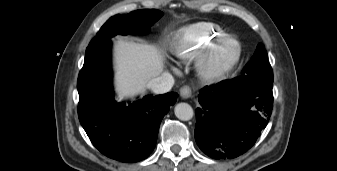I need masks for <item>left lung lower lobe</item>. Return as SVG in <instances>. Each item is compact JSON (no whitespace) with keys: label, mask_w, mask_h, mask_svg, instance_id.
Wrapping results in <instances>:
<instances>
[{"label":"left lung lower lobe","mask_w":337,"mask_h":171,"mask_svg":"<svg viewBox=\"0 0 337 171\" xmlns=\"http://www.w3.org/2000/svg\"><path fill=\"white\" fill-rule=\"evenodd\" d=\"M273 77L240 75L200 90L195 140L214 159L249 150L267 126L273 108Z\"/></svg>","instance_id":"left-lung-lower-lobe-1"}]
</instances>
